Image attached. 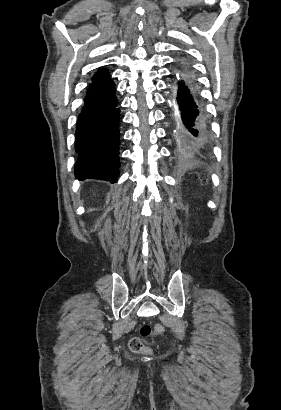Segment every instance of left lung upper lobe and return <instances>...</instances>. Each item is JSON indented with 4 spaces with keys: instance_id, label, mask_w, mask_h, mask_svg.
Returning a JSON list of instances; mask_svg holds the SVG:
<instances>
[{
    "instance_id": "obj_1",
    "label": "left lung upper lobe",
    "mask_w": 281,
    "mask_h": 410,
    "mask_svg": "<svg viewBox=\"0 0 281 410\" xmlns=\"http://www.w3.org/2000/svg\"><path fill=\"white\" fill-rule=\"evenodd\" d=\"M180 70L193 76V71H192L191 67L187 64H182L181 67H180Z\"/></svg>"
}]
</instances>
